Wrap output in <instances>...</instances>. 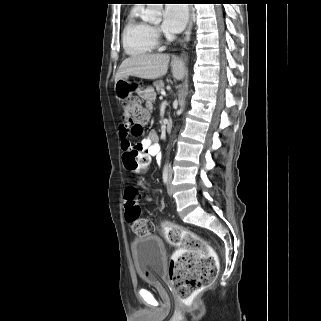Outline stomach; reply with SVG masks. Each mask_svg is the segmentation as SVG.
<instances>
[{
	"label": "stomach",
	"mask_w": 321,
	"mask_h": 321,
	"mask_svg": "<svg viewBox=\"0 0 321 321\" xmlns=\"http://www.w3.org/2000/svg\"><path fill=\"white\" fill-rule=\"evenodd\" d=\"M115 92L117 97L120 100L126 99L128 96H130L133 91H138L139 87L136 83H133L128 80L127 77L121 78L115 82Z\"/></svg>",
	"instance_id": "stomach-1"
}]
</instances>
